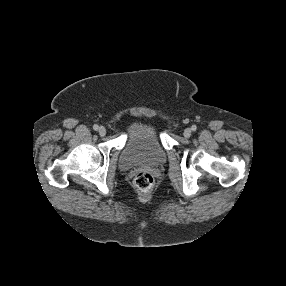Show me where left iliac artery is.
I'll return each mask as SVG.
<instances>
[{"mask_svg": "<svg viewBox=\"0 0 286 286\" xmlns=\"http://www.w3.org/2000/svg\"><path fill=\"white\" fill-rule=\"evenodd\" d=\"M191 129H192L193 131H196V130H197L196 125H193V126L191 127Z\"/></svg>", "mask_w": 286, "mask_h": 286, "instance_id": "44dca946", "label": "left iliac artery"}]
</instances>
